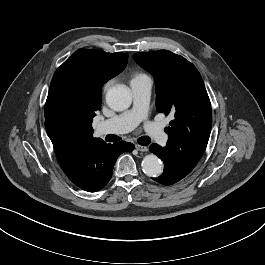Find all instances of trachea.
Here are the masks:
<instances>
[{
  "instance_id": "obj_1",
  "label": "trachea",
  "mask_w": 265,
  "mask_h": 265,
  "mask_svg": "<svg viewBox=\"0 0 265 265\" xmlns=\"http://www.w3.org/2000/svg\"><path fill=\"white\" fill-rule=\"evenodd\" d=\"M105 139H106V141H109V142H116V141H119L121 138L119 136L109 134L105 137ZM150 142H151V140L147 136H142V137L138 138V143L140 145L146 146V145L150 144Z\"/></svg>"
}]
</instances>
